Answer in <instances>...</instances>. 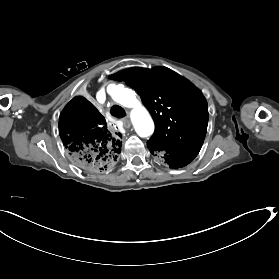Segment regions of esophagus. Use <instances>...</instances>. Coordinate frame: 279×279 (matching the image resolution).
Wrapping results in <instances>:
<instances>
[{
	"label": "esophagus",
	"mask_w": 279,
	"mask_h": 279,
	"mask_svg": "<svg viewBox=\"0 0 279 279\" xmlns=\"http://www.w3.org/2000/svg\"><path fill=\"white\" fill-rule=\"evenodd\" d=\"M121 121L123 122V126L125 128H130L131 127V122L128 118H122Z\"/></svg>",
	"instance_id": "obj_1"
}]
</instances>
